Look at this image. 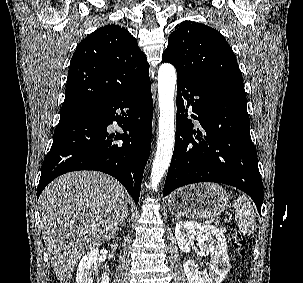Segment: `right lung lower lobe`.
<instances>
[{"mask_svg": "<svg viewBox=\"0 0 303 283\" xmlns=\"http://www.w3.org/2000/svg\"><path fill=\"white\" fill-rule=\"evenodd\" d=\"M152 118L150 80L125 95L61 115L42 165L37 198L64 173L96 170L119 180L137 204L150 154ZM113 122L124 133L112 132Z\"/></svg>", "mask_w": 303, "mask_h": 283, "instance_id": "obj_1", "label": "right lung lower lobe"}]
</instances>
